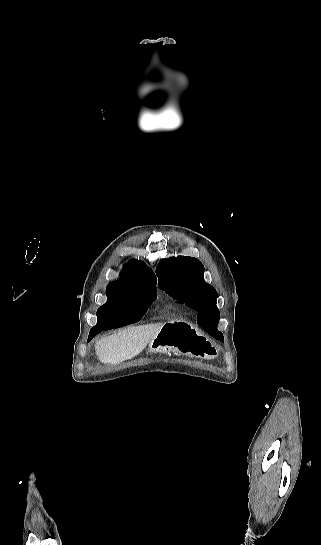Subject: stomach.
<instances>
[{"instance_id":"1","label":"stomach","mask_w":321,"mask_h":545,"mask_svg":"<svg viewBox=\"0 0 321 545\" xmlns=\"http://www.w3.org/2000/svg\"><path fill=\"white\" fill-rule=\"evenodd\" d=\"M151 353H178L191 357H210V345L205 335L191 323L169 321L164 323L149 343Z\"/></svg>"}]
</instances>
